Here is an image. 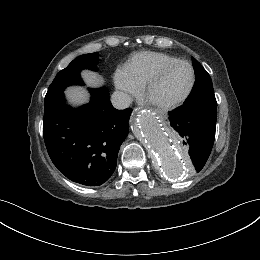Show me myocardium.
<instances>
[{
	"instance_id": "f54148a6",
	"label": "myocardium",
	"mask_w": 260,
	"mask_h": 260,
	"mask_svg": "<svg viewBox=\"0 0 260 260\" xmlns=\"http://www.w3.org/2000/svg\"><path fill=\"white\" fill-rule=\"evenodd\" d=\"M181 64H186L189 66V68L191 69V73H192V79L190 82L189 87L187 88V90L185 91V93L179 97L176 100L170 101V102H162V103H157L152 101L151 99V92L153 90V88L164 78V76L174 67L181 65ZM196 84V71L193 67V65L186 61V60H177L174 61L172 63L166 64L165 66L161 67L151 78L150 80L147 82V87H146V96L147 98L158 108L161 109H174L180 105H182L187 99L188 97L191 95L194 87Z\"/></svg>"
}]
</instances>
